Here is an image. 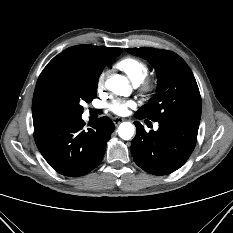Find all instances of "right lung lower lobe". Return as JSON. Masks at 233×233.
<instances>
[{"mask_svg": "<svg viewBox=\"0 0 233 233\" xmlns=\"http://www.w3.org/2000/svg\"><path fill=\"white\" fill-rule=\"evenodd\" d=\"M83 127L80 116L64 117L34 130L40 153L62 175L78 177L97 167L115 128L108 117H101L92 128Z\"/></svg>", "mask_w": 233, "mask_h": 233, "instance_id": "obj_1", "label": "right lung lower lobe"}]
</instances>
